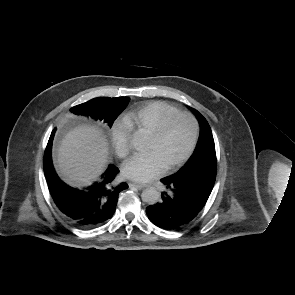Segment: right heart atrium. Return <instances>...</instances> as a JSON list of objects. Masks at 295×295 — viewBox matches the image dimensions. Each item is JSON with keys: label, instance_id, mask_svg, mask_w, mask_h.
<instances>
[{"label": "right heart atrium", "instance_id": "right-heart-atrium-1", "mask_svg": "<svg viewBox=\"0 0 295 295\" xmlns=\"http://www.w3.org/2000/svg\"><path fill=\"white\" fill-rule=\"evenodd\" d=\"M130 129L123 122H116L111 129V141L116 154L124 158L128 155L130 146Z\"/></svg>", "mask_w": 295, "mask_h": 295}]
</instances>
